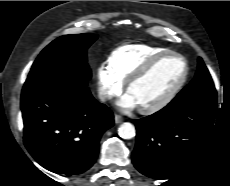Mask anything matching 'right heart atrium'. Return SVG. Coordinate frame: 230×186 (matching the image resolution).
Masks as SVG:
<instances>
[{"instance_id": "d8ad5b80", "label": "right heart atrium", "mask_w": 230, "mask_h": 186, "mask_svg": "<svg viewBox=\"0 0 230 186\" xmlns=\"http://www.w3.org/2000/svg\"><path fill=\"white\" fill-rule=\"evenodd\" d=\"M98 92L103 101H108L119 95L124 83L112 72L110 67L101 63L96 70Z\"/></svg>"}]
</instances>
